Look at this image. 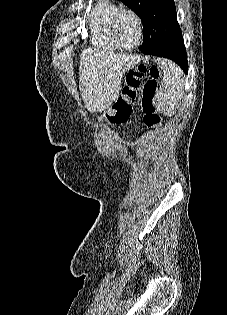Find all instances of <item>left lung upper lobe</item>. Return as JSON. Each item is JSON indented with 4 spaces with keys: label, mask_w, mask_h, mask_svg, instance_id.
<instances>
[{
    "label": "left lung upper lobe",
    "mask_w": 227,
    "mask_h": 315,
    "mask_svg": "<svg viewBox=\"0 0 227 315\" xmlns=\"http://www.w3.org/2000/svg\"><path fill=\"white\" fill-rule=\"evenodd\" d=\"M142 20L144 41L168 48L183 41L173 0H119Z\"/></svg>",
    "instance_id": "5c2ea615"
}]
</instances>
